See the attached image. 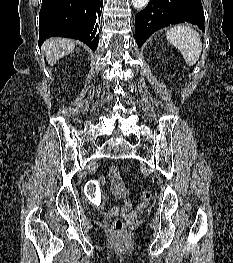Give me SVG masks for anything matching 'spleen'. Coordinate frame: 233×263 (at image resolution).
<instances>
[{"label":"spleen","instance_id":"obj_1","mask_svg":"<svg viewBox=\"0 0 233 263\" xmlns=\"http://www.w3.org/2000/svg\"><path fill=\"white\" fill-rule=\"evenodd\" d=\"M166 38L181 51L189 66L196 64L202 51V41L198 32L188 26L178 25L167 31Z\"/></svg>","mask_w":233,"mask_h":263}]
</instances>
